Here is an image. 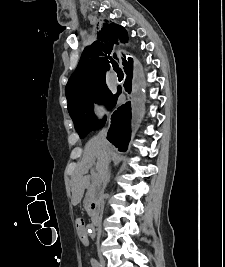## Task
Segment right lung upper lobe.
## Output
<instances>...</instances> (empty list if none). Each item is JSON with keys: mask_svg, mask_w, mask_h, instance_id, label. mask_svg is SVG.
I'll return each instance as SVG.
<instances>
[{"mask_svg": "<svg viewBox=\"0 0 225 267\" xmlns=\"http://www.w3.org/2000/svg\"><path fill=\"white\" fill-rule=\"evenodd\" d=\"M126 42L127 32L122 26L109 22L103 24L98 40L84 49L79 64L66 85L68 104L77 101L90 88L105 84L109 63H115L110 55L115 59L121 58L124 68L128 66V62L121 57L123 54L119 52V44Z\"/></svg>", "mask_w": 225, "mask_h": 267, "instance_id": "right-lung-upper-lobe-1", "label": "right lung upper lobe"}]
</instances>
